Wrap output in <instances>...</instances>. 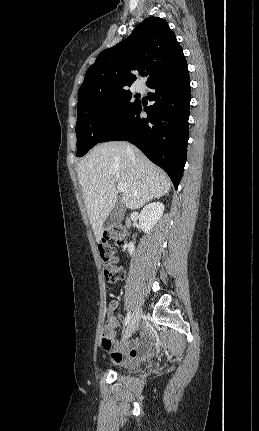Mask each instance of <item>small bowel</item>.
<instances>
[{
	"mask_svg": "<svg viewBox=\"0 0 259 431\" xmlns=\"http://www.w3.org/2000/svg\"><path fill=\"white\" fill-rule=\"evenodd\" d=\"M117 306V301H111L108 304L109 314H111ZM109 319L111 323L109 326H107V334L111 342L108 346L103 345L104 350L111 352L112 359L118 364H130L140 358H143L147 354L150 347V334L147 329L142 328L139 340H132L122 344L115 340V319L112 316H110ZM113 347H116L117 349L113 350Z\"/></svg>",
	"mask_w": 259,
	"mask_h": 431,
	"instance_id": "1",
	"label": "small bowel"
}]
</instances>
